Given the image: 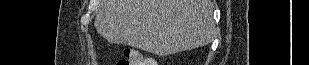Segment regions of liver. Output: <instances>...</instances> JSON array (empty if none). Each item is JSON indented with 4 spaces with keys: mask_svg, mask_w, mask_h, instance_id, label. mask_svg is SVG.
I'll use <instances>...</instances> for the list:
<instances>
[{
    "mask_svg": "<svg viewBox=\"0 0 309 65\" xmlns=\"http://www.w3.org/2000/svg\"><path fill=\"white\" fill-rule=\"evenodd\" d=\"M212 13L211 0H100L94 25L109 43L166 56L210 43Z\"/></svg>",
    "mask_w": 309,
    "mask_h": 65,
    "instance_id": "obj_1",
    "label": "liver"
}]
</instances>
